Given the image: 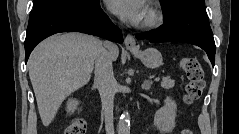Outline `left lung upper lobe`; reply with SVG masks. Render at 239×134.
Wrapping results in <instances>:
<instances>
[{
	"label": "left lung upper lobe",
	"mask_w": 239,
	"mask_h": 134,
	"mask_svg": "<svg viewBox=\"0 0 239 134\" xmlns=\"http://www.w3.org/2000/svg\"><path fill=\"white\" fill-rule=\"evenodd\" d=\"M160 2L166 20L171 19L185 5H205V0H160Z\"/></svg>",
	"instance_id": "1"
}]
</instances>
